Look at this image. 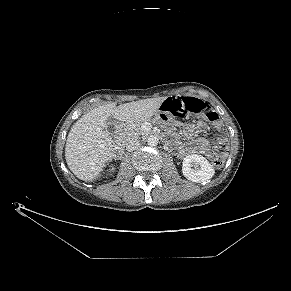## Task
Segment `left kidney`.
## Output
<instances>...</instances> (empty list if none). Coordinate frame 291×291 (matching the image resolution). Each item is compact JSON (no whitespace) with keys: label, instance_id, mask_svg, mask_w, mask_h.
Returning a JSON list of instances; mask_svg holds the SVG:
<instances>
[{"label":"left kidney","instance_id":"obj_1","mask_svg":"<svg viewBox=\"0 0 291 291\" xmlns=\"http://www.w3.org/2000/svg\"><path fill=\"white\" fill-rule=\"evenodd\" d=\"M182 173L188 180L200 183L211 179L215 170L206 158L201 155L191 154L183 160Z\"/></svg>","mask_w":291,"mask_h":291}]
</instances>
